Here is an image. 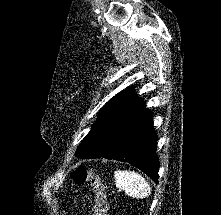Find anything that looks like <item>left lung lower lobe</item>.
<instances>
[{
	"label": "left lung lower lobe",
	"instance_id": "0a47b994",
	"mask_svg": "<svg viewBox=\"0 0 221 215\" xmlns=\"http://www.w3.org/2000/svg\"><path fill=\"white\" fill-rule=\"evenodd\" d=\"M145 105L139 101L114 127L101 157L133 164L157 183V136Z\"/></svg>",
	"mask_w": 221,
	"mask_h": 215
}]
</instances>
